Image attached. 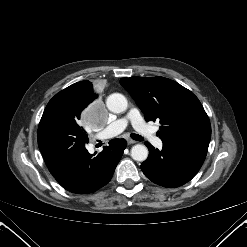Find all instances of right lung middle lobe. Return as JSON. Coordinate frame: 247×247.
Returning a JSON list of instances; mask_svg holds the SVG:
<instances>
[{
  "instance_id": "right-lung-middle-lobe-1",
  "label": "right lung middle lobe",
  "mask_w": 247,
  "mask_h": 247,
  "mask_svg": "<svg viewBox=\"0 0 247 247\" xmlns=\"http://www.w3.org/2000/svg\"><path fill=\"white\" fill-rule=\"evenodd\" d=\"M96 98H85L64 89L49 101L43 114L57 115L78 122L83 109L90 106Z\"/></svg>"
}]
</instances>
